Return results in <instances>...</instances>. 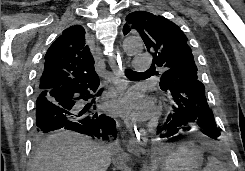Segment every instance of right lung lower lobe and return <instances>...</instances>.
<instances>
[{
    "label": "right lung lower lobe",
    "mask_w": 245,
    "mask_h": 171,
    "mask_svg": "<svg viewBox=\"0 0 245 171\" xmlns=\"http://www.w3.org/2000/svg\"><path fill=\"white\" fill-rule=\"evenodd\" d=\"M99 84L98 80L37 91L35 136L60 128L105 140L115 135V121L102 114L98 106L84 104Z\"/></svg>",
    "instance_id": "obj_1"
}]
</instances>
